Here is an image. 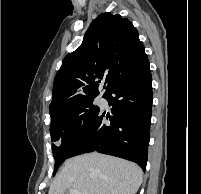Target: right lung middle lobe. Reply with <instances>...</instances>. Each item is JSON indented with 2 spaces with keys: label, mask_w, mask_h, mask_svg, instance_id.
Listing matches in <instances>:
<instances>
[{
  "label": "right lung middle lobe",
  "mask_w": 201,
  "mask_h": 194,
  "mask_svg": "<svg viewBox=\"0 0 201 194\" xmlns=\"http://www.w3.org/2000/svg\"><path fill=\"white\" fill-rule=\"evenodd\" d=\"M96 97V96H95ZM95 97L86 98L72 106L64 114L51 118L50 133L52 141H65L82 125L87 124L100 111V108L93 104ZM60 147L52 144V151L55 158L54 174L64 159L58 154Z\"/></svg>",
  "instance_id": "1"
}]
</instances>
